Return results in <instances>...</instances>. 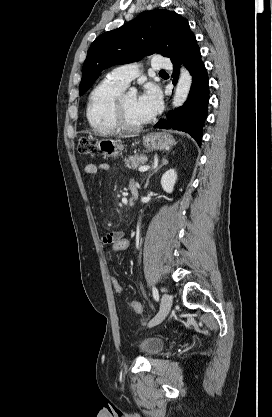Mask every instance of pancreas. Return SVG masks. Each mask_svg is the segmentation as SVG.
Wrapping results in <instances>:
<instances>
[{
    "instance_id": "cf45deb5",
    "label": "pancreas",
    "mask_w": 272,
    "mask_h": 417,
    "mask_svg": "<svg viewBox=\"0 0 272 417\" xmlns=\"http://www.w3.org/2000/svg\"><path fill=\"white\" fill-rule=\"evenodd\" d=\"M147 162V157L145 155H135V156H129L127 159H125L126 167L129 169H137L140 164H144Z\"/></svg>"
}]
</instances>
